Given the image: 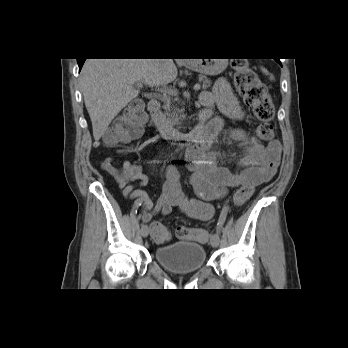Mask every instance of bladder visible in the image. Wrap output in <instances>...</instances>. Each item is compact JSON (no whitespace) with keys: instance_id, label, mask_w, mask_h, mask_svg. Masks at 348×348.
Returning <instances> with one entry per match:
<instances>
[{"instance_id":"bladder-1","label":"bladder","mask_w":348,"mask_h":348,"mask_svg":"<svg viewBox=\"0 0 348 348\" xmlns=\"http://www.w3.org/2000/svg\"><path fill=\"white\" fill-rule=\"evenodd\" d=\"M155 256L162 266L175 274L193 273L206 262L204 246L194 241L161 245L155 249Z\"/></svg>"}]
</instances>
